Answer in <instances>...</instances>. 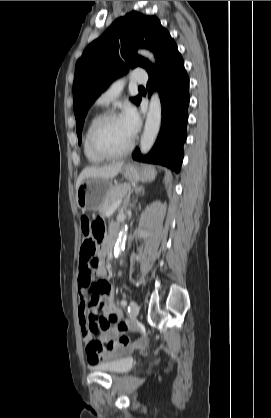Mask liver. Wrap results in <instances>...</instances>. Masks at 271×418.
Here are the masks:
<instances>
[{"mask_svg":"<svg viewBox=\"0 0 271 418\" xmlns=\"http://www.w3.org/2000/svg\"><path fill=\"white\" fill-rule=\"evenodd\" d=\"M123 166V162H118L115 164L103 166V167H86L80 173L77 182H76V191L83 180L87 178H103V179H113L118 172L120 171L121 167Z\"/></svg>","mask_w":271,"mask_h":418,"instance_id":"1","label":"liver"}]
</instances>
